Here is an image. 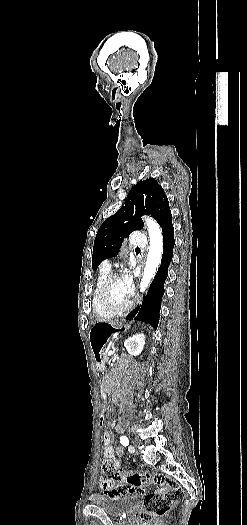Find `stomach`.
Returning a JSON list of instances; mask_svg holds the SVG:
<instances>
[{
	"mask_svg": "<svg viewBox=\"0 0 247 525\" xmlns=\"http://www.w3.org/2000/svg\"><path fill=\"white\" fill-rule=\"evenodd\" d=\"M129 328L128 324L123 323H96L94 324L89 332V344L94 357L98 364H101L102 357L100 356V350L110 339L111 336L118 334L121 330Z\"/></svg>",
	"mask_w": 247,
	"mask_h": 525,
	"instance_id": "stomach-1",
	"label": "stomach"
}]
</instances>
